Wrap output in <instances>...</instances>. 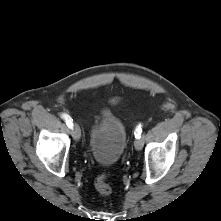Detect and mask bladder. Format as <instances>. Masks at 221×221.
Instances as JSON below:
<instances>
[{"label": "bladder", "instance_id": "obj_1", "mask_svg": "<svg viewBox=\"0 0 221 221\" xmlns=\"http://www.w3.org/2000/svg\"><path fill=\"white\" fill-rule=\"evenodd\" d=\"M126 141L123 121L110 112L101 113L89 137L92 157L101 165H113L123 154Z\"/></svg>", "mask_w": 221, "mask_h": 221}]
</instances>
